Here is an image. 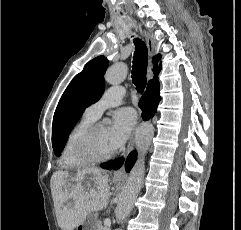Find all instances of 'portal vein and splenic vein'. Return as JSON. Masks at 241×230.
Segmentation results:
<instances>
[{
	"mask_svg": "<svg viewBox=\"0 0 241 230\" xmlns=\"http://www.w3.org/2000/svg\"><path fill=\"white\" fill-rule=\"evenodd\" d=\"M104 224H105L106 226H110V225H111L110 219H105Z\"/></svg>",
	"mask_w": 241,
	"mask_h": 230,
	"instance_id": "obj_1",
	"label": "portal vein and splenic vein"
}]
</instances>
